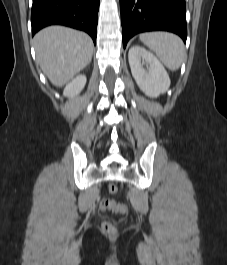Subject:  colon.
<instances>
[{
  "mask_svg": "<svg viewBox=\"0 0 227 265\" xmlns=\"http://www.w3.org/2000/svg\"><path fill=\"white\" fill-rule=\"evenodd\" d=\"M117 186L115 184H109L107 186V191L109 194L114 195L117 193ZM100 209L102 211H113L119 214H125L127 212V208L123 204L116 203L110 199H103L100 203ZM102 230L107 234H114L116 232V228L114 224L109 221H105L102 223Z\"/></svg>",
  "mask_w": 227,
  "mask_h": 265,
  "instance_id": "colon-1",
  "label": "colon"
}]
</instances>
